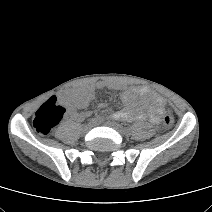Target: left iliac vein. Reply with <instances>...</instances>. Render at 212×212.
Segmentation results:
<instances>
[{
  "label": "left iliac vein",
  "instance_id": "4c4485c4",
  "mask_svg": "<svg viewBox=\"0 0 212 212\" xmlns=\"http://www.w3.org/2000/svg\"><path fill=\"white\" fill-rule=\"evenodd\" d=\"M106 125L109 127H112L113 129H115L117 132H119L122 135L125 134V130L123 129V127H121V125H119L116 122H107Z\"/></svg>",
  "mask_w": 212,
  "mask_h": 212
}]
</instances>
